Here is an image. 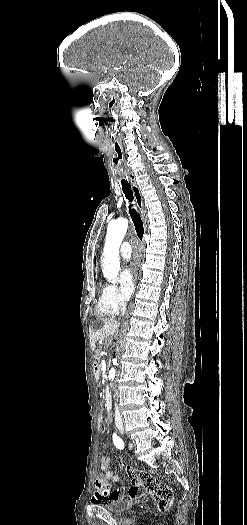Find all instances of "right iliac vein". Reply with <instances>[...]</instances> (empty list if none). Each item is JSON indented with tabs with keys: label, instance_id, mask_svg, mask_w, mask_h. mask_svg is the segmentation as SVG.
<instances>
[{
	"label": "right iliac vein",
	"instance_id": "1",
	"mask_svg": "<svg viewBox=\"0 0 247 525\" xmlns=\"http://www.w3.org/2000/svg\"><path fill=\"white\" fill-rule=\"evenodd\" d=\"M118 429H119V431H120L121 433H124V427H123V426H119Z\"/></svg>",
	"mask_w": 247,
	"mask_h": 525
}]
</instances>
